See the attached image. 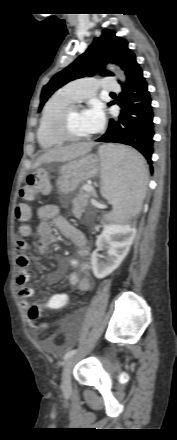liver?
<instances>
[{
    "mask_svg": "<svg viewBox=\"0 0 177 440\" xmlns=\"http://www.w3.org/2000/svg\"><path fill=\"white\" fill-rule=\"evenodd\" d=\"M94 143L92 142H81L57 149H51L41 155L33 165V168L40 166L43 163L50 162H65L70 161L75 158L81 157L92 150Z\"/></svg>",
    "mask_w": 177,
    "mask_h": 440,
    "instance_id": "6515ba94",
    "label": "liver"
}]
</instances>
